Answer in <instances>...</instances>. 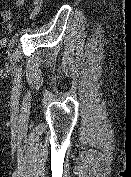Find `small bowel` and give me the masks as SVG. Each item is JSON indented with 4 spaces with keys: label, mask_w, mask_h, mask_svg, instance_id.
<instances>
[{
    "label": "small bowel",
    "mask_w": 131,
    "mask_h": 177,
    "mask_svg": "<svg viewBox=\"0 0 131 177\" xmlns=\"http://www.w3.org/2000/svg\"><path fill=\"white\" fill-rule=\"evenodd\" d=\"M14 1H15L16 6L22 11L26 19H31L35 17L38 14L42 6L40 4V0H33V9L31 11H27L26 0H14ZM12 18H13V13L10 10H3L0 13V21L2 23L7 24L9 31L13 30V25L11 23Z\"/></svg>",
    "instance_id": "1"
}]
</instances>
